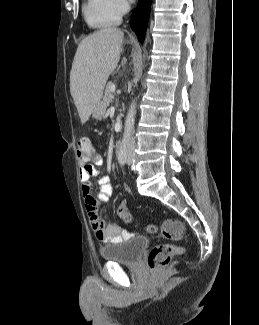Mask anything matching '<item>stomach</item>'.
I'll return each instance as SVG.
<instances>
[{"label": "stomach", "instance_id": "1", "mask_svg": "<svg viewBox=\"0 0 259 325\" xmlns=\"http://www.w3.org/2000/svg\"><path fill=\"white\" fill-rule=\"evenodd\" d=\"M106 112V106L103 104L102 101L96 104L93 109L92 117L95 119H101Z\"/></svg>", "mask_w": 259, "mask_h": 325}]
</instances>
